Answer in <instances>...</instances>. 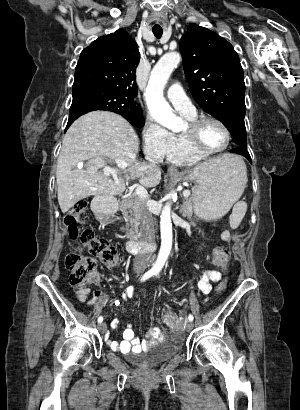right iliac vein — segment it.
Wrapping results in <instances>:
<instances>
[{
    "mask_svg": "<svg viewBox=\"0 0 300 410\" xmlns=\"http://www.w3.org/2000/svg\"><path fill=\"white\" fill-rule=\"evenodd\" d=\"M98 329H99L100 332L104 333V332L106 331V329H107V326H106L105 323H100V324L98 325Z\"/></svg>",
    "mask_w": 300,
    "mask_h": 410,
    "instance_id": "right-iliac-vein-1",
    "label": "right iliac vein"
}]
</instances>
